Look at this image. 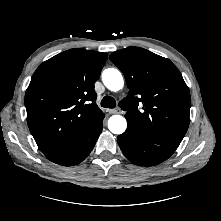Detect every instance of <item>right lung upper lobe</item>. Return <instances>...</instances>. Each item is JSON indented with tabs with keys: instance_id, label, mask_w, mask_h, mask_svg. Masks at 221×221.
<instances>
[{
	"instance_id": "right-lung-upper-lobe-1",
	"label": "right lung upper lobe",
	"mask_w": 221,
	"mask_h": 221,
	"mask_svg": "<svg viewBox=\"0 0 221 221\" xmlns=\"http://www.w3.org/2000/svg\"><path fill=\"white\" fill-rule=\"evenodd\" d=\"M107 57L101 52L70 49L34 72L25 106L30 132L42 152L70 142L102 114L95 103L94 83Z\"/></svg>"
}]
</instances>
